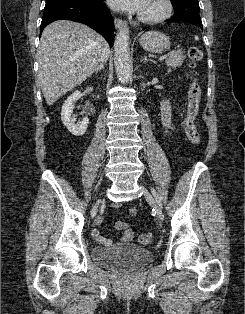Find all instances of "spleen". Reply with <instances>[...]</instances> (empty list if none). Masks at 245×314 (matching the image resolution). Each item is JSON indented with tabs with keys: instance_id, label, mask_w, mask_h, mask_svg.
Returning <instances> with one entry per match:
<instances>
[{
	"instance_id": "spleen-1",
	"label": "spleen",
	"mask_w": 245,
	"mask_h": 314,
	"mask_svg": "<svg viewBox=\"0 0 245 314\" xmlns=\"http://www.w3.org/2000/svg\"><path fill=\"white\" fill-rule=\"evenodd\" d=\"M194 38H195V40H199V37H198V36H195Z\"/></svg>"
}]
</instances>
